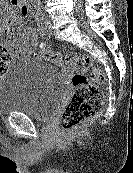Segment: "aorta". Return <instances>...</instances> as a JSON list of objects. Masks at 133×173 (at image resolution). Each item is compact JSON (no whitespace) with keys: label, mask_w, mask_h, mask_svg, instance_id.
Wrapping results in <instances>:
<instances>
[{"label":"aorta","mask_w":133,"mask_h":173,"mask_svg":"<svg viewBox=\"0 0 133 173\" xmlns=\"http://www.w3.org/2000/svg\"><path fill=\"white\" fill-rule=\"evenodd\" d=\"M35 3H40L41 0H32Z\"/></svg>","instance_id":"obj_1"}]
</instances>
